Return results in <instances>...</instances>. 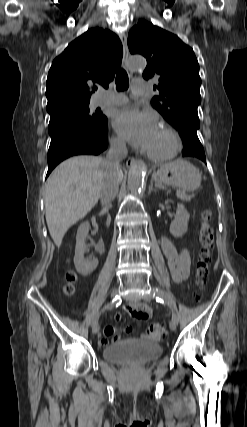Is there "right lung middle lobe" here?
<instances>
[{
    "instance_id": "right-lung-middle-lobe-1",
    "label": "right lung middle lobe",
    "mask_w": 247,
    "mask_h": 427,
    "mask_svg": "<svg viewBox=\"0 0 247 427\" xmlns=\"http://www.w3.org/2000/svg\"><path fill=\"white\" fill-rule=\"evenodd\" d=\"M53 116L75 118L93 127H103L107 122V118L101 113L89 114L88 105L68 106L50 114V117Z\"/></svg>"
}]
</instances>
